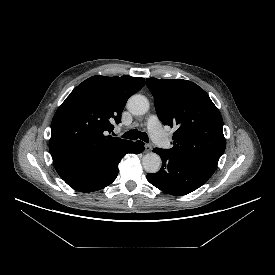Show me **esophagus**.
<instances>
[{
  "label": "esophagus",
  "instance_id": "esophagus-1",
  "mask_svg": "<svg viewBox=\"0 0 275 275\" xmlns=\"http://www.w3.org/2000/svg\"><path fill=\"white\" fill-rule=\"evenodd\" d=\"M152 151V146L150 144H145V152L149 153Z\"/></svg>",
  "mask_w": 275,
  "mask_h": 275
}]
</instances>
